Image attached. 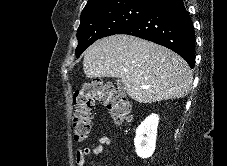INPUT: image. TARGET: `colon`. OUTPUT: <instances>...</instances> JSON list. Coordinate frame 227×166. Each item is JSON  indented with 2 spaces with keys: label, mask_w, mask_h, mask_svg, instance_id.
I'll list each match as a JSON object with an SVG mask.
<instances>
[{
  "label": "colon",
  "mask_w": 227,
  "mask_h": 166,
  "mask_svg": "<svg viewBox=\"0 0 227 166\" xmlns=\"http://www.w3.org/2000/svg\"><path fill=\"white\" fill-rule=\"evenodd\" d=\"M95 100L105 105L117 125L130 118L132 105L125 93L100 79L85 83L73 95V134L77 141L87 139Z\"/></svg>",
  "instance_id": "colon-1"
}]
</instances>
